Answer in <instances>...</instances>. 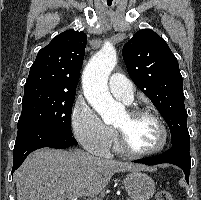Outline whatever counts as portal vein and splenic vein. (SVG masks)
Returning <instances> with one entry per match:
<instances>
[{
  "instance_id": "1",
  "label": "portal vein and splenic vein",
  "mask_w": 201,
  "mask_h": 200,
  "mask_svg": "<svg viewBox=\"0 0 201 200\" xmlns=\"http://www.w3.org/2000/svg\"><path fill=\"white\" fill-rule=\"evenodd\" d=\"M79 196H81V195H77V196H75V197L77 198V197H79ZM90 197H93V196H90ZM69 200H76V199H74V197H70ZM96 200H97V199H96Z\"/></svg>"
}]
</instances>
